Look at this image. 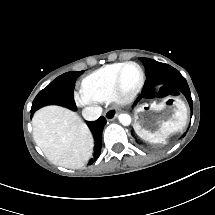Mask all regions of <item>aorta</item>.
<instances>
[{"mask_svg":"<svg viewBox=\"0 0 215 215\" xmlns=\"http://www.w3.org/2000/svg\"><path fill=\"white\" fill-rule=\"evenodd\" d=\"M118 120L124 126H129L131 123V117L128 114H119Z\"/></svg>","mask_w":215,"mask_h":215,"instance_id":"obj_1","label":"aorta"}]
</instances>
